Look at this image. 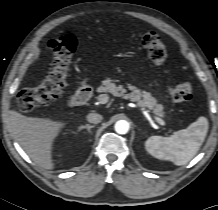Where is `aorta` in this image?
Instances as JSON below:
<instances>
[{"mask_svg": "<svg viewBox=\"0 0 218 210\" xmlns=\"http://www.w3.org/2000/svg\"><path fill=\"white\" fill-rule=\"evenodd\" d=\"M129 130V123L125 120H119L115 123V131L118 134H126Z\"/></svg>", "mask_w": 218, "mask_h": 210, "instance_id": "1", "label": "aorta"}]
</instances>
